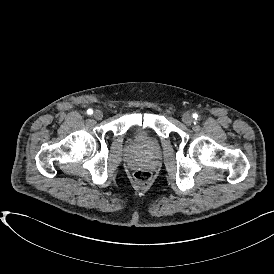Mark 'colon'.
<instances>
[{
  "mask_svg": "<svg viewBox=\"0 0 274 274\" xmlns=\"http://www.w3.org/2000/svg\"><path fill=\"white\" fill-rule=\"evenodd\" d=\"M151 179L152 174L148 169H138L134 173V180L141 185H147L150 183Z\"/></svg>",
  "mask_w": 274,
  "mask_h": 274,
  "instance_id": "obj_1",
  "label": "colon"
}]
</instances>
